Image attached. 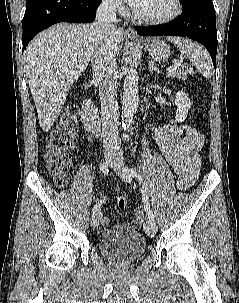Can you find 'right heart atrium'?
I'll return each instance as SVG.
<instances>
[{"mask_svg":"<svg viewBox=\"0 0 239 303\" xmlns=\"http://www.w3.org/2000/svg\"><path fill=\"white\" fill-rule=\"evenodd\" d=\"M105 7L114 11H122L123 7L120 0H102Z\"/></svg>","mask_w":239,"mask_h":303,"instance_id":"d8ad5b80","label":"right heart atrium"}]
</instances>
